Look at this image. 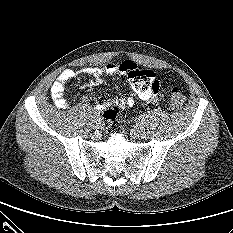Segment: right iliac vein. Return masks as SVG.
I'll list each match as a JSON object with an SVG mask.
<instances>
[{
    "mask_svg": "<svg viewBox=\"0 0 233 233\" xmlns=\"http://www.w3.org/2000/svg\"><path fill=\"white\" fill-rule=\"evenodd\" d=\"M94 125H95V128L97 129V130H99V129H101L102 128V123H101V120L99 119V120H95L94 121Z\"/></svg>",
    "mask_w": 233,
    "mask_h": 233,
    "instance_id": "right-iliac-vein-1",
    "label": "right iliac vein"
}]
</instances>
